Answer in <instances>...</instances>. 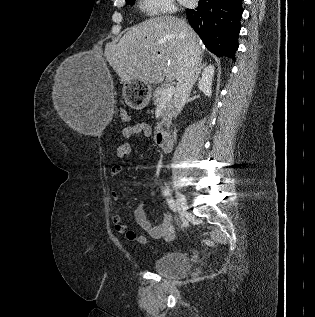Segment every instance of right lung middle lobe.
I'll return each mask as SVG.
<instances>
[{
    "label": "right lung middle lobe",
    "mask_w": 315,
    "mask_h": 317,
    "mask_svg": "<svg viewBox=\"0 0 315 317\" xmlns=\"http://www.w3.org/2000/svg\"><path fill=\"white\" fill-rule=\"evenodd\" d=\"M135 0H126V4L134 5Z\"/></svg>",
    "instance_id": "dd1d6c3e"
}]
</instances>
